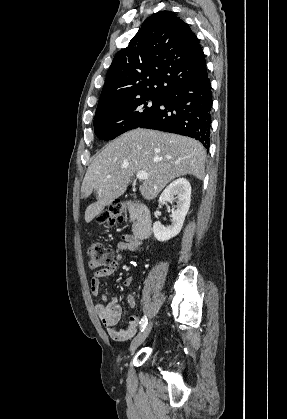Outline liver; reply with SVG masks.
Segmentation results:
<instances>
[{
  "label": "liver",
  "mask_w": 287,
  "mask_h": 419,
  "mask_svg": "<svg viewBox=\"0 0 287 419\" xmlns=\"http://www.w3.org/2000/svg\"><path fill=\"white\" fill-rule=\"evenodd\" d=\"M205 159L203 145L189 137L141 128L122 134L107 144L87 169L81 193L87 198L94 192L97 200L85 211L86 223L124 194L135 173L148 174L139 191L152 200L177 177L191 174L202 180Z\"/></svg>",
  "instance_id": "1"
}]
</instances>
